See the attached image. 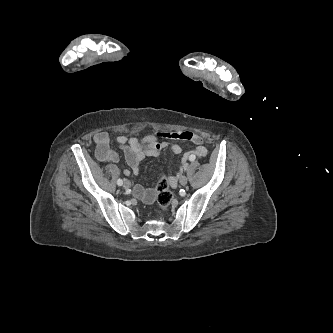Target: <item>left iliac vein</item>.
I'll use <instances>...</instances> for the list:
<instances>
[{"label":"left iliac vein","instance_id":"1","mask_svg":"<svg viewBox=\"0 0 333 333\" xmlns=\"http://www.w3.org/2000/svg\"><path fill=\"white\" fill-rule=\"evenodd\" d=\"M187 181H188L187 177L184 175L179 178V183L183 186H185L187 184Z\"/></svg>","mask_w":333,"mask_h":333}]
</instances>
